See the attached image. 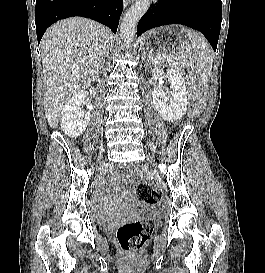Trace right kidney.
<instances>
[{
  "mask_svg": "<svg viewBox=\"0 0 265 273\" xmlns=\"http://www.w3.org/2000/svg\"><path fill=\"white\" fill-rule=\"evenodd\" d=\"M90 95H94V87L89 89ZM87 92L79 91L65 104L59 120L62 130L71 138H76L83 134L89 124L90 112L81 111V105L85 103Z\"/></svg>",
  "mask_w": 265,
  "mask_h": 273,
  "instance_id": "obj_1",
  "label": "right kidney"
}]
</instances>
